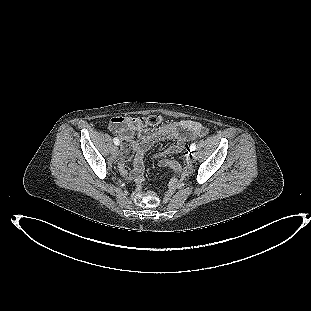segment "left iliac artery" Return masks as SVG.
<instances>
[{
  "instance_id": "1",
  "label": "left iliac artery",
  "mask_w": 311,
  "mask_h": 311,
  "mask_svg": "<svg viewBox=\"0 0 311 311\" xmlns=\"http://www.w3.org/2000/svg\"><path fill=\"white\" fill-rule=\"evenodd\" d=\"M196 150V144L195 143H192L191 146H190V151H195Z\"/></svg>"
}]
</instances>
